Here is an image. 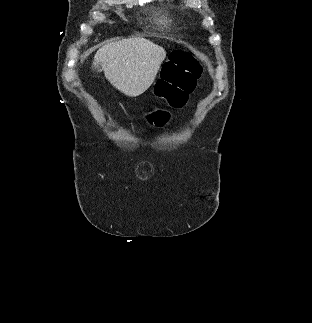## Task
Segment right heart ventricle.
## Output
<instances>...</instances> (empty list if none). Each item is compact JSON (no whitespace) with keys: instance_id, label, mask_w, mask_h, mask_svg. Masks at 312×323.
<instances>
[{"instance_id":"right-heart-ventricle-1","label":"right heart ventricle","mask_w":312,"mask_h":323,"mask_svg":"<svg viewBox=\"0 0 312 323\" xmlns=\"http://www.w3.org/2000/svg\"><path fill=\"white\" fill-rule=\"evenodd\" d=\"M160 12V13H159ZM173 9L170 5H143L139 13H136V20H147L149 25L157 29L159 25H171V17L173 16ZM174 23L179 25L181 20H185L187 25L193 23L192 13H188L183 5L178 7Z\"/></svg>"}]
</instances>
